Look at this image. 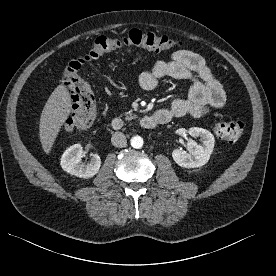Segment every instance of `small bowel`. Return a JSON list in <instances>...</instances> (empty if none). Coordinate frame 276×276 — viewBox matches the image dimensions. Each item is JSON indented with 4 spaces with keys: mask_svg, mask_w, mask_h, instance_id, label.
Here are the masks:
<instances>
[{
    "mask_svg": "<svg viewBox=\"0 0 276 276\" xmlns=\"http://www.w3.org/2000/svg\"><path fill=\"white\" fill-rule=\"evenodd\" d=\"M165 77L192 82L186 98H177L169 107L159 110L170 119L184 115L201 117L225 104L226 94L221 82L198 53L186 49L175 51L168 59L156 62L151 71L143 72L139 76V85L151 91Z\"/></svg>",
    "mask_w": 276,
    "mask_h": 276,
    "instance_id": "small-bowel-1",
    "label": "small bowel"
}]
</instances>
